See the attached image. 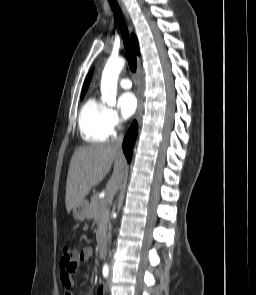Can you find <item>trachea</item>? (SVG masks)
Returning <instances> with one entry per match:
<instances>
[{
    "label": "trachea",
    "instance_id": "1",
    "mask_svg": "<svg viewBox=\"0 0 256 295\" xmlns=\"http://www.w3.org/2000/svg\"><path fill=\"white\" fill-rule=\"evenodd\" d=\"M109 4L115 15V18L117 20V23L123 38L124 48H125L129 68L133 73H135L137 69V59L132 48V44H131V40H130V36H129V32H128V28H127L124 16L116 0H109Z\"/></svg>",
    "mask_w": 256,
    "mask_h": 295
}]
</instances>
